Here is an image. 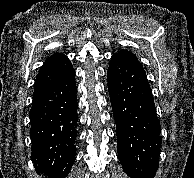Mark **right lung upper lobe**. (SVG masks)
I'll list each match as a JSON object with an SVG mask.
<instances>
[{"label": "right lung upper lobe", "instance_id": "cb5924a9", "mask_svg": "<svg viewBox=\"0 0 194 178\" xmlns=\"http://www.w3.org/2000/svg\"><path fill=\"white\" fill-rule=\"evenodd\" d=\"M72 69L70 60L64 54H52L41 66L35 79V85L57 80Z\"/></svg>", "mask_w": 194, "mask_h": 178}]
</instances>
